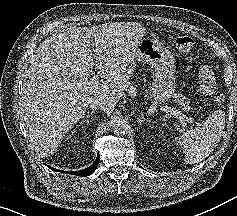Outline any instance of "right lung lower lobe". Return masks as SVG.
Instances as JSON below:
<instances>
[{
    "label": "right lung lower lobe",
    "instance_id": "right-lung-lower-lobe-1",
    "mask_svg": "<svg viewBox=\"0 0 237 216\" xmlns=\"http://www.w3.org/2000/svg\"><path fill=\"white\" fill-rule=\"evenodd\" d=\"M99 160H100V156L98 154L95 162L91 166H89L88 168L83 169V170L75 171V172H73V174L74 175H78V176H82V177L91 175L96 170V168H97V166L99 164ZM46 166L48 168H50L51 170H54V171H57V172L69 173L68 171H61V170L54 169V168L50 167L49 165H46ZM69 174H71V173H69Z\"/></svg>",
    "mask_w": 237,
    "mask_h": 216
}]
</instances>
